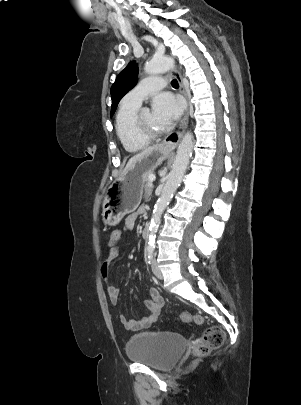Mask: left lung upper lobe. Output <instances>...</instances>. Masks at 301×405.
I'll list each match as a JSON object with an SVG mask.
<instances>
[{"mask_svg":"<svg viewBox=\"0 0 301 405\" xmlns=\"http://www.w3.org/2000/svg\"><path fill=\"white\" fill-rule=\"evenodd\" d=\"M137 76L138 64L135 61L130 62L127 67L117 76L110 91L112 98L111 117L113 116L117 108V104L121 98L136 85Z\"/></svg>","mask_w":301,"mask_h":405,"instance_id":"obj_1","label":"left lung upper lobe"}]
</instances>
